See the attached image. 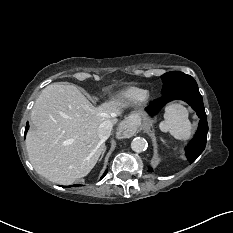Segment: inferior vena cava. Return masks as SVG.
I'll use <instances>...</instances> for the list:
<instances>
[{"label": "inferior vena cava", "instance_id": "inferior-vena-cava-1", "mask_svg": "<svg viewBox=\"0 0 233 233\" xmlns=\"http://www.w3.org/2000/svg\"><path fill=\"white\" fill-rule=\"evenodd\" d=\"M111 130H112V122L111 120H107L105 121L101 128L99 129V132H98V136L100 138L101 141L105 142L110 134H111Z\"/></svg>", "mask_w": 233, "mask_h": 233}]
</instances>
